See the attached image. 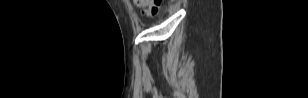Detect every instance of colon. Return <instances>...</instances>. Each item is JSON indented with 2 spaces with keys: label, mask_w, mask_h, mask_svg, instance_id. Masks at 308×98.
I'll use <instances>...</instances> for the list:
<instances>
[{
  "label": "colon",
  "mask_w": 308,
  "mask_h": 98,
  "mask_svg": "<svg viewBox=\"0 0 308 98\" xmlns=\"http://www.w3.org/2000/svg\"><path fill=\"white\" fill-rule=\"evenodd\" d=\"M135 4L145 9L147 16H155L158 14L162 0H134Z\"/></svg>",
  "instance_id": "colon-1"
}]
</instances>
